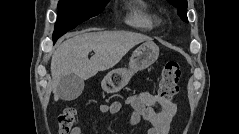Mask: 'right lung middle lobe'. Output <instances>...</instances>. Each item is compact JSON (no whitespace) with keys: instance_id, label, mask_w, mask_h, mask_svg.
<instances>
[{"instance_id":"1","label":"right lung middle lobe","mask_w":239,"mask_h":134,"mask_svg":"<svg viewBox=\"0 0 239 134\" xmlns=\"http://www.w3.org/2000/svg\"><path fill=\"white\" fill-rule=\"evenodd\" d=\"M109 0H60L53 42L81 22L101 13Z\"/></svg>"}]
</instances>
